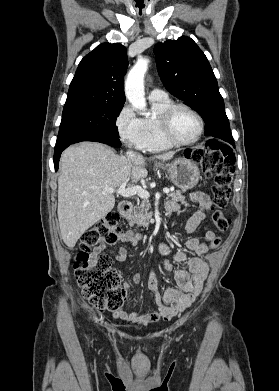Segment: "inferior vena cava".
Masks as SVG:
<instances>
[{
	"label": "inferior vena cava",
	"mask_w": 279,
	"mask_h": 391,
	"mask_svg": "<svg viewBox=\"0 0 279 391\" xmlns=\"http://www.w3.org/2000/svg\"><path fill=\"white\" fill-rule=\"evenodd\" d=\"M133 155H135V154L132 151L127 152V156H133Z\"/></svg>",
	"instance_id": "obj_1"
}]
</instances>
